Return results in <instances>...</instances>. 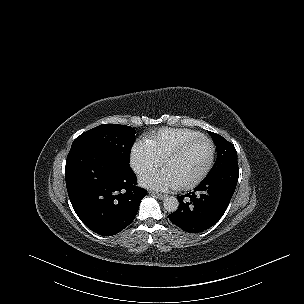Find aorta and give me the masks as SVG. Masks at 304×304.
Segmentation results:
<instances>
[{"instance_id":"obj_1","label":"aorta","mask_w":304,"mask_h":304,"mask_svg":"<svg viewBox=\"0 0 304 304\" xmlns=\"http://www.w3.org/2000/svg\"><path fill=\"white\" fill-rule=\"evenodd\" d=\"M164 209L168 212H175L179 207V201L174 196H168L163 200Z\"/></svg>"}]
</instances>
